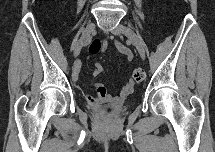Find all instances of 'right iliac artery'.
<instances>
[{"label": "right iliac artery", "mask_w": 215, "mask_h": 152, "mask_svg": "<svg viewBox=\"0 0 215 152\" xmlns=\"http://www.w3.org/2000/svg\"><path fill=\"white\" fill-rule=\"evenodd\" d=\"M91 41V37H89L85 42H84V46L87 45L89 42Z\"/></svg>", "instance_id": "right-iliac-artery-1"}]
</instances>
